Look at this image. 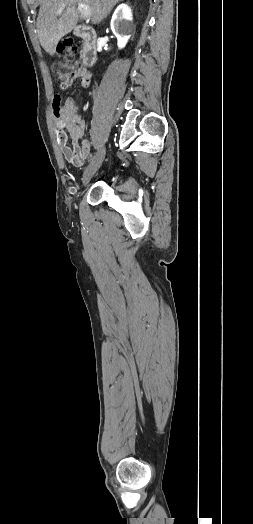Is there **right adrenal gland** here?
Here are the masks:
<instances>
[{
    "instance_id": "1",
    "label": "right adrenal gland",
    "mask_w": 253,
    "mask_h": 524,
    "mask_svg": "<svg viewBox=\"0 0 253 524\" xmlns=\"http://www.w3.org/2000/svg\"><path fill=\"white\" fill-rule=\"evenodd\" d=\"M109 13H110V11L107 13V15H108ZM107 15H106V16H107ZM106 16H105V17H106Z\"/></svg>"
}]
</instances>
